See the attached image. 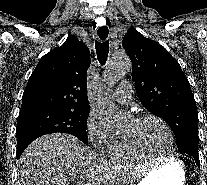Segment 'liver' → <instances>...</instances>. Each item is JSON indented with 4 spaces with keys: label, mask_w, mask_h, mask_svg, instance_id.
<instances>
[{
    "label": "liver",
    "mask_w": 207,
    "mask_h": 185,
    "mask_svg": "<svg viewBox=\"0 0 207 185\" xmlns=\"http://www.w3.org/2000/svg\"><path fill=\"white\" fill-rule=\"evenodd\" d=\"M94 159L92 151L73 135H43L22 153L16 185H70L71 179L90 173Z\"/></svg>",
    "instance_id": "liver-1"
}]
</instances>
